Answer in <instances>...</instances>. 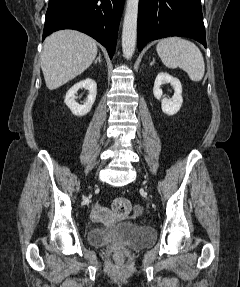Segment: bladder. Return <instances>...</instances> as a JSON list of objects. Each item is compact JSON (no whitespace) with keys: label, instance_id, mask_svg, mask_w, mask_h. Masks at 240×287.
<instances>
[{"label":"bladder","instance_id":"obj_1","mask_svg":"<svg viewBox=\"0 0 240 287\" xmlns=\"http://www.w3.org/2000/svg\"><path fill=\"white\" fill-rule=\"evenodd\" d=\"M88 240L94 245H104L109 240H120L128 243L132 248H138L152 244L155 234L147 226L123 221L114 226H99L91 229Z\"/></svg>","mask_w":240,"mask_h":287}]
</instances>
